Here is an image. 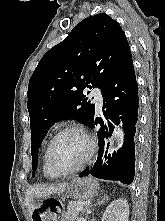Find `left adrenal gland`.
Returning <instances> with one entry per match:
<instances>
[{"mask_svg": "<svg viewBox=\"0 0 165 221\" xmlns=\"http://www.w3.org/2000/svg\"><path fill=\"white\" fill-rule=\"evenodd\" d=\"M100 202L98 201L96 204H95V206L97 205V204H99ZM91 206H86V209L84 210V211H86V210H89V208H90Z\"/></svg>", "mask_w": 165, "mask_h": 221, "instance_id": "a2214340", "label": "left adrenal gland"}]
</instances>
